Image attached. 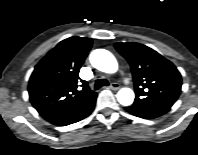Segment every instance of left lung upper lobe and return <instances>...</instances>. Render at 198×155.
<instances>
[{"label": "left lung upper lobe", "instance_id": "1", "mask_svg": "<svg viewBox=\"0 0 198 155\" xmlns=\"http://www.w3.org/2000/svg\"><path fill=\"white\" fill-rule=\"evenodd\" d=\"M117 51L129 62L134 79V105L171 108L178 99L182 80L177 68L155 50L139 43H116Z\"/></svg>", "mask_w": 198, "mask_h": 155}]
</instances>
